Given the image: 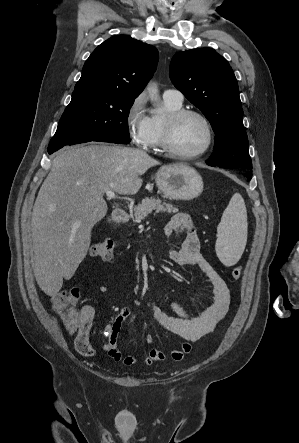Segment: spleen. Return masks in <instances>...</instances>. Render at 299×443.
I'll use <instances>...</instances> for the list:
<instances>
[{"mask_svg": "<svg viewBox=\"0 0 299 443\" xmlns=\"http://www.w3.org/2000/svg\"><path fill=\"white\" fill-rule=\"evenodd\" d=\"M247 210L239 193L232 196L217 227L216 254L225 266L235 265L247 242Z\"/></svg>", "mask_w": 299, "mask_h": 443, "instance_id": "3e777b00", "label": "spleen"}]
</instances>
